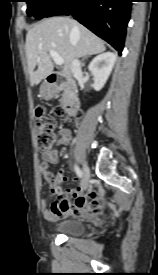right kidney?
Segmentation results:
<instances>
[{
	"instance_id": "ca27d5eb",
	"label": "right kidney",
	"mask_w": 158,
	"mask_h": 275,
	"mask_svg": "<svg viewBox=\"0 0 158 275\" xmlns=\"http://www.w3.org/2000/svg\"><path fill=\"white\" fill-rule=\"evenodd\" d=\"M116 61V55L111 52L96 56L89 64L88 69L93 75V88L100 91L108 80Z\"/></svg>"
}]
</instances>
